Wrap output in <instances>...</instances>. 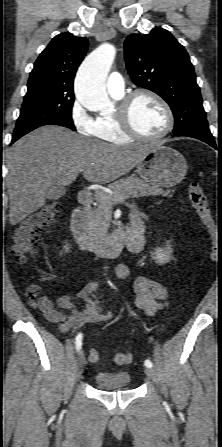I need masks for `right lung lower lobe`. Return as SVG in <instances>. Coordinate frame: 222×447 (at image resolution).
<instances>
[{"label":"right lung lower lobe","instance_id":"obj_1","mask_svg":"<svg viewBox=\"0 0 222 447\" xmlns=\"http://www.w3.org/2000/svg\"><path fill=\"white\" fill-rule=\"evenodd\" d=\"M17 139H18V138H12V142H11V144L14 143Z\"/></svg>","mask_w":222,"mask_h":447}]
</instances>
